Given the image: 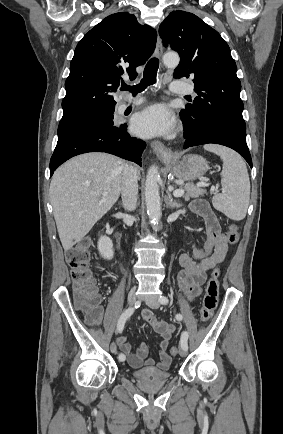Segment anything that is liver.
<instances>
[{
	"mask_svg": "<svg viewBox=\"0 0 283 434\" xmlns=\"http://www.w3.org/2000/svg\"><path fill=\"white\" fill-rule=\"evenodd\" d=\"M125 165L114 155L93 152L76 156L55 171L50 200L65 251L79 242L117 202ZM104 192L106 197L102 195Z\"/></svg>",
	"mask_w": 283,
	"mask_h": 434,
	"instance_id": "obj_1",
	"label": "liver"
}]
</instances>
